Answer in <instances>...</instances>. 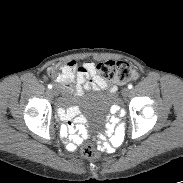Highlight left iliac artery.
Returning <instances> with one entry per match:
<instances>
[{
    "mask_svg": "<svg viewBox=\"0 0 183 183\" xmlns=\"http://www.w3.org/2000/svg\"><path fill=\"white\" fill-rule=\"evenodd\" d=\"M128 88H129V89H132V88H133V85H132V84H129V85H128Z\"/></svg>",
    "mask_w": 183,
    "mask_h": 183,
    "instance_id": "left-iliac-artery-1",
    "label": "left iliac artery"
}]
</instances>
